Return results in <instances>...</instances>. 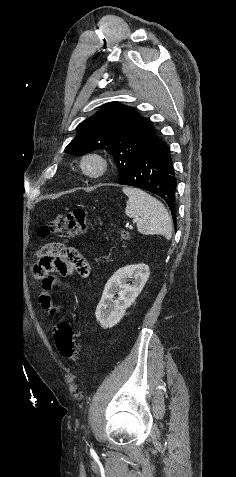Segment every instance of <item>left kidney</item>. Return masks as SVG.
<instances>
[{
	"mask_svg": "<svg viewBox=\"0 0 236 477\" xmlns=\"http://www.w3.org/2000/svg\"><path fill=\"white\" fill-rule=\"evenodd\" d=\"M149 267L146 264L125 266L117 270L107 281L101 300L96 308V318L104 329L112 328L120 322L142 291L149 278ZM133 278L132 285L127 281ZM117 299H113L115 294Z\"/></svg>",
	"mask_w": 236,
	"mask_h": 477,
	"instance_id": "5707ae66",
	"label": "left kidney"
}]
</instances>
